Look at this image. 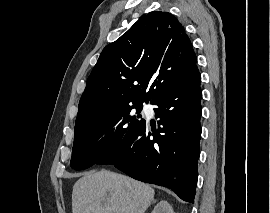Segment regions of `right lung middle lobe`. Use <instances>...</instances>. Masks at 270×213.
<instances>
[{
  "label": "right lung middle lobe",
  "mask_w": 270,
  "mask_h": 213,
  "mask_svg": "<svg viewBox=\"0 0 270 213\" xmlns=\"http://www.w3.org/2000/svg\"><path fill=\"white\" fill-rule=\"evenodd\" d=\"M142 104L120 106L75 123L71 167L83 170L98 164L133 136L145 123Z\"/></svg>",
  "instance_id": "right-lung-middle-lobe-1"
}]
</instances>
